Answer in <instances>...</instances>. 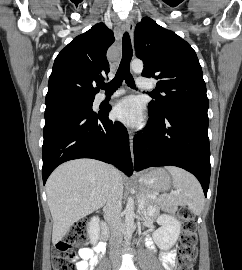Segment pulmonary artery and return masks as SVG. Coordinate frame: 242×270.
Here are the masks:
<instances>
[{"label":"pulmonary artery","instance_id":"1","mask_svg":"<svg viewBox=\"0 0 242 270\" xmlns=\"http://www.w3.org/2000/svg\"><path fill=\"white\" fill-rule=\"evenodd\" d=\"M137 87L140 88V89H150V88H152V85L145 78H138L137 79ZM124 92H125L124 89H117L116 91H114V92H112L110 94L102 93L98 97V99H99V101H104L106 99H111V98L118 97V96L122 95Z\"/></svg>","mask_w":242,"mask_h":270}]
</instances>
